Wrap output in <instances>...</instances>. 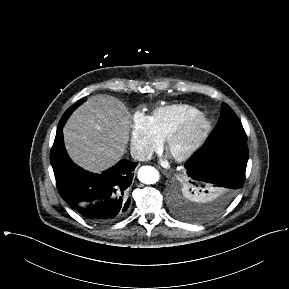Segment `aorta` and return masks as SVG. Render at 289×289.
I'll return each instance as SVG.
<instances>
[{
    "label": "aorta",
    "mask_w": 289,
    "mask_h": 289,
    "mask_svg": "<svg viewBox=\"0 0 289 289\" xmlns=\"http://www.w3.org/2000/svg\"><path fill=\"white\" fill-rule=\"evenodd\" d=\"M138 179L144 184H154L159 180V172L151 166H143L138 171Z\"/></svg>",
    "instance_id": "aorta-1"
}]
</instances>
